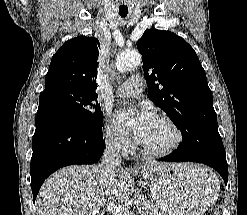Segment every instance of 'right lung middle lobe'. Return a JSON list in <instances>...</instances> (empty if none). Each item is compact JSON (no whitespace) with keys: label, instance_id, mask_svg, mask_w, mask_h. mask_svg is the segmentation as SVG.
Listing matches in <instances>:
<instances>
[{"label":"right lung middle lobe","instance_id":"obj_1","mask_svg":"<svg viewBox=\"0 0 247 215\" xmlns=\"http://www.w3.org/2000/svg\"><path fill=\"white\" fill-rule=\"evenodd\" d=\"M39 113H52L92 129H101L103 116L97 95L72 89L57 88L43 91L39 97Z\"/></svg>","mask_w":247,"mask_h":215}]
</instances>
